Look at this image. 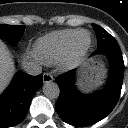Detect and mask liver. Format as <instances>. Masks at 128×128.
<instances>
[{"mask_svg":"<svg viewBox=\"0 0 128 128\" xmlns=\"http://www.w3.org/2000/svg\"><path fill=\"white\" fill-rule=\"evenodd\" d=\"M87 72L90 76L87 79L100 81L104 76L105 70L102 66L89 65L87 67ZM14 74V67L11 54L7 46L0 40V93L5 89V87L10 82Z\"/></svg>","mask_w":128,"mask_h":128,"instance_id":"liver-1","label":"liver"}]
</instances>
